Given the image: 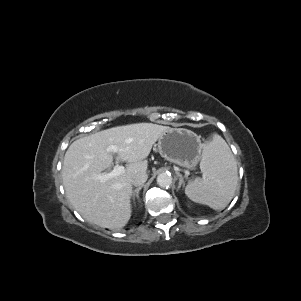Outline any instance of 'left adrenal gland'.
<instances>
[{
  "label": "left adrenal gland",
  "mask_w": 301,
  "mask_h": 301,
  "mask_svg": "<svg viewBox=\"0 0 301 301\" xmlns=\"http://www.w3.org/2000/svg\"><path fill=\"white\" fill-rule=\"evenodd\" d=\"M177 175L179 176V185H178V190H179L181 186L184 185V178L180 173H177Z\"/></svg>",
  "instance_id": "1"
}]
</instances>
